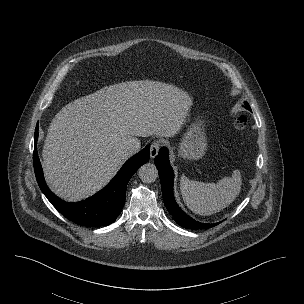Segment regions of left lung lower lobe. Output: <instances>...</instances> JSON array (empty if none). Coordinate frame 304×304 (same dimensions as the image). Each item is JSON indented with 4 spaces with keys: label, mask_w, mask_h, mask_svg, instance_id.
<instances>
[{
    "label": "left lung lower lobe",
    "mask_w": 304,
    "mask_h": 304,
    "mask_svg": "<svg viewBox=\"0 0 304 304\" xmlns=\"http://www.w3.org/2000/svg\"><path fill=\"white\" fill-rule=\"evenodd\" d=\"M155 165L159 172L164 204L177 224L187 229H207L218 224L195 221L180 209L173 196L174 173L169 164L167 148L163 147L159 150L155 157Z\"/></svg>",
    "instance_id": "left-lung-lower-lobe-1"
}]
</instances>
